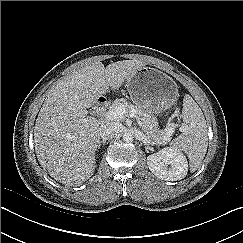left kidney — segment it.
I'll return each mask as SVG.
<instances>
[{
	"instance_id": "obj_1",
	"label": "left kidney",
	"mask_w": 243,
	"mask_h": 243,
	"mask_svg": "<svg viewBox=\"0 0 243 243\" xmlns=\"http://www.w3.org/2000/svg\"><path fill=\"white\" fill-rule=\"evenodd\" d=\"M150 171L158 178L166 181L183 179L188 172L186 156L177 149L164 148L147 157Z\"/></svg>"
}]
</instances>
